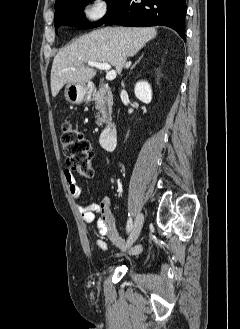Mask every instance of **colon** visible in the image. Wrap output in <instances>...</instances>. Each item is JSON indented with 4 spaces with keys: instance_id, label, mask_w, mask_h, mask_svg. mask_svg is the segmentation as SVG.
I'll list each match as a JSON object with an SVG mask.
<instances>
[{
    "instance_id": "1",
    "label": "colon",
    "mask_w": 240,
    "mask_h": 329,
    "mask_svg": "<svg viewBox=\"0 0 240 329\" xmlns=\"http://www.w3.org/2000/svg\"><path fill=\"white\" fill-rule=\"evenodd\" d=\"M61 141L67 164L79 175L91 177L93 169L90 142L70 124H64Z\"/></svg>"
}]
</instances>
